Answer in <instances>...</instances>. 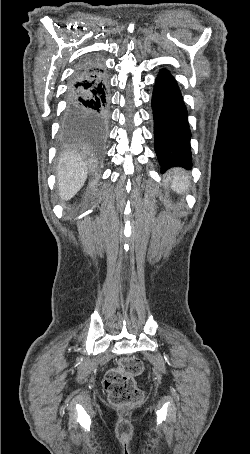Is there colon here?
Wrapping results in <instances>:
<instances>
[{
    "label": "colon",
    "mask_w": 250,
    "mask_h": 454,
    "mask_svg": "<svg viewBox=\"0 0 250 454\" xmlns=\"http://www.w3.org/2000/svg\"><path fill=\"white\" fill-rule=\"evenodd\" d=\"M143 370L142 362L135 357H124L118 364L109 369L105 375V387L109 401L115 407L137 405L143 399L135 377Z\"/></svg>",
    "instance_id": "5ec220e1"
}]
</instances>
